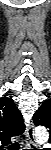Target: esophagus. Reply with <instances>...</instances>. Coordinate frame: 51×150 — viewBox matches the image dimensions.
I'll return each instance as SVG.
<instances>
[{
	"label": "esophagus",
	"mask_w": 51,
	"mask_h": 150,
	"mask_svg": "<svg viewBox=\"0 0 51 150\" xmlns=\"http://www.w3.org/2000/svg\"><path fill=\"white\" fill-rule=\"evenodd\" d=\"M26 135L29 143L35 145L34 130L31 123L26 128Z\"/></svg>",
	"instance_id": "1"
}]
</instances>
